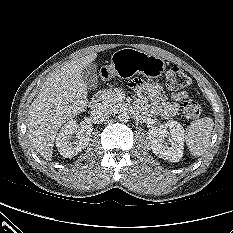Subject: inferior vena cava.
<instances>
[{
	"label": "inferior vena cava",
	"mask_w": 233,
	"mask_h": 233,
	"mask_svg": "<svg viewBox=\"0 0 233 233\" xmlns=\"http://www.w3.org/2000/svg\"><path fill=\"white\" fill-rule=\"evenodd\" d=\"M112 113L113 109L106 103L97 104L91 111L92 116L99 119L108 118Z\"/></svg>",
	"instance_id": "602c4592"
}]
</instances>
